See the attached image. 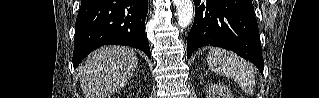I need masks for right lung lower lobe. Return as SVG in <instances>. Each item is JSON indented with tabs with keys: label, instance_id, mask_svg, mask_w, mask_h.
I'll use <instances>...</instances> for the list:
<instances>
[{
	"label": "right lung lower lobe",
	"instance_id": "right-lung-lower-lobe-1",
	"mask_svg": "<svg viewBox=\"0 0 319 98\" xmlns=\"http://www.w3.org/2000/svg\"><path fill=\"white\" fill-rule=\"evenodd\" d=\"M148 0H81L75 25L73 65L103 45H127L151 58L145 33Z\"/></svg>",
	"mask_w": 319,
	"mask_h": 98
}]
</instances>
